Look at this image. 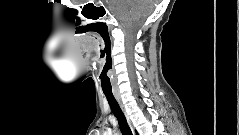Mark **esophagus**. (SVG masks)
<instances>
[{
    "label": "esophagus",
    "mask_w": 239,
    "mask_h": 135,
    "mask_svg": "<svg viewBox=\"0 0 239 135\" xmlns=\"http://www.w3.org/2000/svg\"><path fill=\"white\" fill-rule=\"evenodd\" d=\"M114 96H115V98H116L118 104L120 105V108H121L122 111L125 113V109H124V106H123V104H122V100H121L120 94L115 93Z\"/></svg>",
    "instance_id": "1"
}]
</instances>
